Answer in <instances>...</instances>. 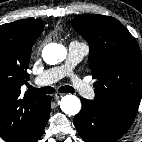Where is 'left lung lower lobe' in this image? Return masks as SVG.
I'll list each match as a JSON object with an SVG mask.
<instances>
[{
    "label": "left lung lower lobe",
    "mask_w": 142,
    "mask_h": 142,
    "mask_svg": "<svg viewBox=\"0 0 142 142\" xmlns=\"http://www.w3.org/2000/svg\"><path fill=\"white\" fill-rule=\"evenodd\" d=\"M80 99L82 109L74 117V124L84 141L116 142L132 125L94 100Z\"/></svg>",
    "instance_id": "left-lung-lower-lobe-1"
}]
</instances>
